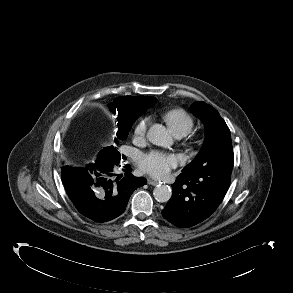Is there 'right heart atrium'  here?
<instances>
[{"instance_id":"1","label":"right heart atrium","mask_w":293,"mask_h":293,"mask_svg":"<svg viewBox=\"0 0 293 293\" xmlns=\"http://www.w3.org/2000/svg\"><path fill=\"white\" fill-rule=\"evenodd\" d=\"M150 119L148 117L141 118L134 127V137L135 139H143L145 137Z\"/></svg>"}]
</instances>
